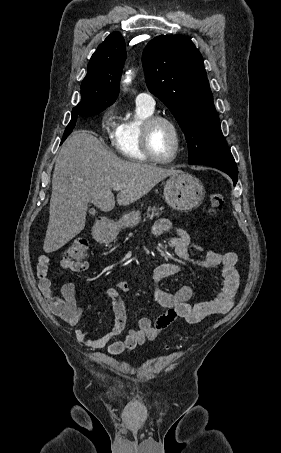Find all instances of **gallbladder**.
Segmentation results:
<instances>
[{
  "label": "gallbladder",
  "instance_id": "gallbladder-1",
  "mask_svg": "<svg viewBox=\"0 0 281 453\" xmlns=\"http://www.w3.org/2000/svg\"><path fill=\"white\" fill-rule=\"evenodd\" d=\"M90 214H95L96 210L95 208H91V210H89Z\"/></svg>",
  "mask_w": 281,
  "mask_h": 453
}]
</instances>
